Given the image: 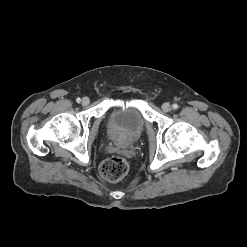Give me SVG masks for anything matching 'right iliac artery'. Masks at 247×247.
I'll list each match as a JSON object with an SVG mask.
<instances>
[{
	"instance_id": "1",
	"label": "right iliac artery",
	"mask_w": 247,
	"mask_h": 247,
	"mask_svg": "<svg viewBox=\"0 0 247 247\" xmlns=\"http://www.w3.org/2000/svg\"><path fill=\"white\" fill-rule=\"evenodd\" d=\"M76 102H77V103H80V102H81V99H80V98H77V99H76Z\"/></svg>"
}]
</instances>
